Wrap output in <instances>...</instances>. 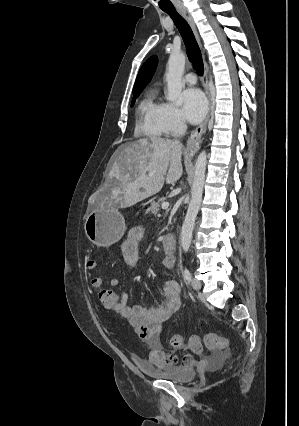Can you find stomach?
I'll return each mask as SVG.
<instances>
[{"label": "stomach", "mask_w": 299, "mask_h": 426, "mask_svg": "<svg viewBox=\"0 0 299 426\" xmlns=\"http://www.w3.org/2000/svg\"><path fill=\"white\" fill-rule=\"evenodd\" d=\"M126 226L115 206H100L86 217L84 230L87 238L98 247H110L124 235Z\"/></svg>", "instance_id": "0dacf381"}]
</instances>
